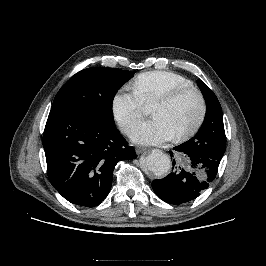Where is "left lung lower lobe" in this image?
<instances>
[{
    "mask_svg": "<svg viewBox=\"0 0 266 266\" xmlns=\"http://www.w3.org/2000/svg\"><path fill=\"white\" fill-rule=\"evenodd\" d=\"M183 158L176 165L173 160L171 173L152 181L156 195L169 204H182L197 198L215 179L220 160L187 149L184 144L174 148ZM173 157V152L169 151Z\"/></svg>",
    "mask_w": 266,
    "mask_h": 266,
    "instance_id": "1",
    "label": "left lung lower lobe"
}]
</instances>
